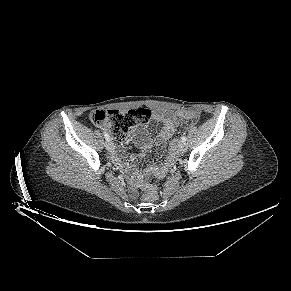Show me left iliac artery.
Masks as SVG:
<instances>
[{
    "label": "left iliac artery",
    "instance_id": "1",
    "mask_svg": "<svg viewBox=\"0 0 291 291\" xmlns=\"http://www.w3.org/2000/svg\"><path fill=\"white\" fill-rule=\"evenodd\" d=\"M186 140H187L186 135H183V136L181 137V141H182V142H186Z\"/></svg>",
    "mask_w": 291,
    "mask_h": 291
}]
</instances>
